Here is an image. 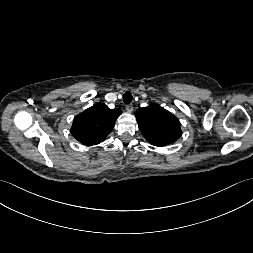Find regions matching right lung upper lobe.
Segmentation results:
<instances>
[{
	"instance_id": "obj_1",
	"label": "right lung upper lobe",
	"mask_w": 253,
	"mask_h": 253,
	"mask_svg": "<svg viewBox=\"0 0 253 253\" xmlns=\"http://www.w3.org/2000/svg\"><path fill=\"white\" fill-rule=\"evenodd\" d=\"M121 113L120 109L97 103L74 118L71 133L84 145H97L105 140Z\"/></svg>"
}]
</instances>
